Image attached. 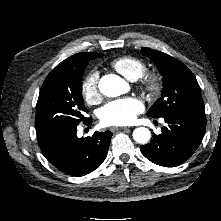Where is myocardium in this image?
Returning <instances> with one entry per match:
<instances>
[{
	"label": "myocardium",
	"instance_id": "1",
	"mask_svg": "<svg viewBox=\"0 0 221 221\" xmlns=\"http://www.w3.org/2000/svg\"><path fill=\"white\" fill-rule=\"evenodd\" d=\"M142 87L144 91L152 96H158L163 89V80L159 73L152 72L142 77Z\"/></svg>",
	"mask_w": 221,
	"mask_h": 221
}]
</instances>
